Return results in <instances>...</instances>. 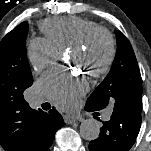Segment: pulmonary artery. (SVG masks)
Listing matches in <instances>:
<instances>
[{"label":"pulmonary artery","instance_id":"obj_1","mask_svg":"<svg viewBox=\"0 0 151 151\" xmlns=\"http://www.w3.org/2000/svg\"><path fill=\"white\" fill-rule=\"evenodd\" d=\"M42 102H43V100H42L41 98H39V97H36V98L34 99V103H35L36 105H39V104H41ZM111 114H112L111 109H107V110L104 112V114H103V118H104L105 120H109L110 117H111Z\"/></svg>","mask_w":151,"mask_h":151}]
</instances>
